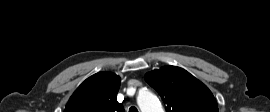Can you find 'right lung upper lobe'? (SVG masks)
Wrapping results in <instances>:
<instances>
[{
  "label": "right lung upper lobe",
  "instance_id": "1",
  "mask_svg": "<svg viewBox=\"0 0 270 112\" xmlns=\"http://www.w3.org/2000/svg\"><path fill=\"white\" fill-rule=\"evenodd\" d=\"M119 87V76L111 72H99L77 88L65 112H124L116 98Z\"/></svg>",
  "mask_w": 270,
  "mask_h": 112
}]
</instances>
